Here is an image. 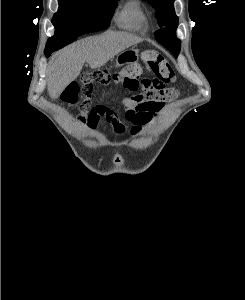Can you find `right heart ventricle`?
Instances as JSON below:
<instances>
[{"mask_svg":"<svg viewBox=\"0 0 245 300\" xmlns=\"http://www.w3.org/2000/svg\"><path fill=\"white\" fill-rule=\"evenodd\" d=\"M116 24L124 29L143 30L147 18L138 0L127 1L116 16Z\"/></svg>","mask_w":245,"mask_h":300,"instance_id":"1","label":"right heart ventricle"}]
</instances>
